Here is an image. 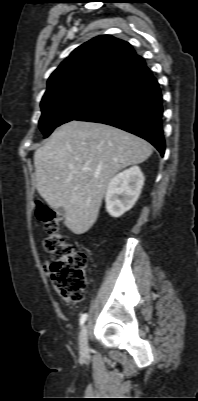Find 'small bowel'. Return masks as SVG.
<instances>
[{"label": "small bowel", "instance_id": "c3829d8e", "mask_svg": "<svg viewBox=\"0 0 198 401\" xmlns=\"http://www.w3.org/2000/svg\"><path fill=\"white\" fill-rule=\"evenodd\" d=\"M48 268H49V262H46L45 263V270H48Z\"/></svg>", "mask_w": 198, "mask_h": 401}]
</instances>
